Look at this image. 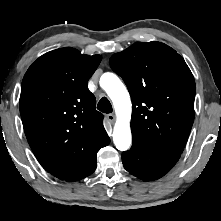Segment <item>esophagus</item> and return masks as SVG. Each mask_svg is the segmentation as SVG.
Listing matches in <instances>:
<instances>
[{
    "label": "esophagus",
    "mask_w": 221,
    "mask_h": 221,
    "mask_svg": "<svg viewBox=\"0 0 221 221\" xmlns=\"http://www.w3.org/2000/svg\"><path fill=\"white\" fill-rule=\"evenodd\" d=\"M107 119L110 123H114L115 121V115L114 114H108Z\"/></svg>",
    "instance_id": "esophagus-1"
}]
</instances>
